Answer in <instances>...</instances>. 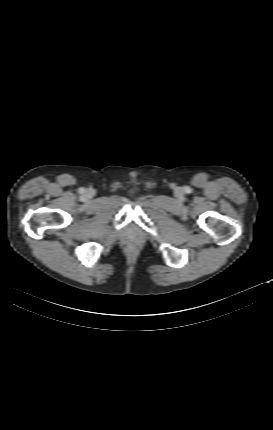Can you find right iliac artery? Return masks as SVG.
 I'll list each match as a JSON object with an SVG mask.
<instances>
[{
    "label": "right iliac artery",
    "mask_w": 273,
    "mask_h": 430,
    "mask_svg": "<svg viewBox=\"0 0 273 430\" xmlns=\"http://www.w3.org/2000/svg\"><path fill=\"white\" fill-rule=\"evenodd\" d=\"M83 191H84V189H83V188H81V189H80V192H83Z\"/></svg>",
    "instance_id": "right-iliac-artery-1"
}]
</instances>
